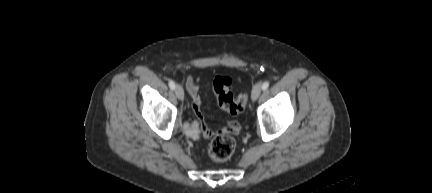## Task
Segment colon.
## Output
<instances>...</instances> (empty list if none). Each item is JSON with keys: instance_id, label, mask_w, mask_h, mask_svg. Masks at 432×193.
I'll list each match as a JSON object with an SVG mask.
<instances>
[{"instance_id": "obj_1", "label": "colon", "mask_w": 432, "mask_h": 193, "mask_svg": "<svg viewBox=\"0 0 432 193\" xmlns=\"http://www.w3.org/2000/svg\"><path fill=\"white\" fill-rule=\"evenodd\" d=\"M232 81L227 76H217L213 82V92L219 106L231 114H239L244 111L247 104V95L245 93L235 96L231 89ZM235 140L227 134H216L212 139L208 155L214 162L227 161L235 150Z\"/></svg>"}]
</instances>
